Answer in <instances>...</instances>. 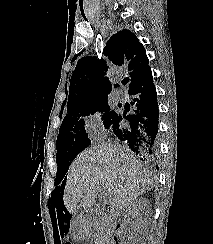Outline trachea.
Masks as SVG:
<instances>
[{"instance_id":"1","label":"trachea","mask_w":213,"mask_h":244,"mask_svg":"<svg viewBox=\"0 0 213 244\" xmlns=\"http://www.w3.org/2000/svg\"><path fill=\"white\" fill-rule=\"evenodd\" d=\"M128 81H129V78H124V79L122 80V84L125 85L126 83H128Z\"/></svg>"}]
</instances>
